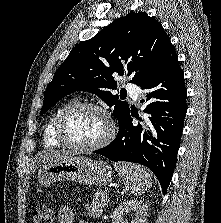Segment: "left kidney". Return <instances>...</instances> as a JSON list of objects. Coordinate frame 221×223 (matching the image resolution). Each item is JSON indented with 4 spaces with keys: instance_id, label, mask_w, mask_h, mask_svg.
Instances as JSON below:
<instances>
[{
    "instance_id": "obj_1",
    "label": "left kidney",
    "mask_w": 221,
    "mask_h": 223,
    "mask_svg": "<svg viewBox=\"0 0 221 223\" xmlns=\"http://www.w3.org/2000/svg\"><path fill=\"white\" fill-rule=\"evenodd\" d=\"M148 206L143 201L128 200L119 205L113 212L112 223H124L123 214L134 212L131 223H146Z\"/></svg>"
}]
</instances>
